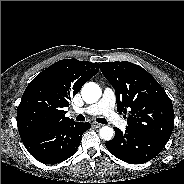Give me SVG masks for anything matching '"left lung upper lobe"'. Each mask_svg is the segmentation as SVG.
Returning <instances> with one entry per match:
<instances>
[{"label": "left lung upper lobe", "mask_w": 184, "mask_h": 184, "mask_svg": "<svg viewBox=\"0 0 184 184\" xmlns=\"http://www.w3.org/2000/svg\"><path fill=\"white\" fill-rule=\"evenodd\" d=\"M100 69L115 89L117 111L124 112V118L127 114V127L166 145L174 128V110L161 85L131 62H105Z\"/></svg>", "instance_id": "left-lung-upper-lobe-1"}]
</instances>
